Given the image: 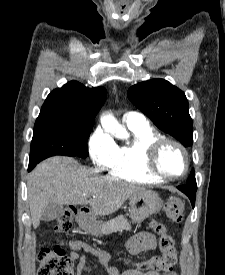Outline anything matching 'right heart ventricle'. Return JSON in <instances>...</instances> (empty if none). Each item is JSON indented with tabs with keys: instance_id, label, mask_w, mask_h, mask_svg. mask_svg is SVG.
Returning <instances> with one entry per match:
<instances>
[{
	"instance_id": "1",
	"label": "right heart ventricle",
	"mask_w": 225,
	"mask_h": 275,
	"mask_svg": "<svg viewBox=\"0 0 225 275\" xmlns=\"http://www.w3.org/2000/svg\"><path fill=\"white\" fill-rule=\"evenodd\" d=\"M132 140L120 147L108 166L109 174L139 184H155L162 180L153 176L145 166L146 147L163 136L149 124L128 126Z\"/></svg>"
}]
</instances>
